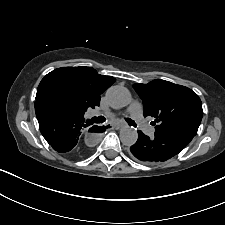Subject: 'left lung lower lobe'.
Masks as SVG:
<instances>
[{
	"mask_svg": "<svg viewBox=\"0 0 225 225\" xmlns=\"http://www.w3.org/2000/svg\"><path fill=\"white\" fill-rule=\"evenodd\" d=\"M193 135L186 133L155 134L149 138L142 131H138V139L130 147V151L138 160L153 164L166 161L181 152L193 139Z\"/></svg>",
	"mask_w": 225,
	"mask_h": 225,
	"instance_id": "1",
	"label": "left lung lower lobe"
}]
</instances>
